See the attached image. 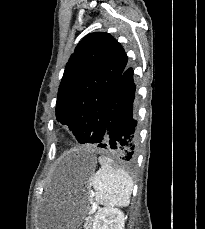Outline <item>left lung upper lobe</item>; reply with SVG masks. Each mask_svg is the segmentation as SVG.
<instances>
[{"mask_svg": "<svg viewBox=\"0 0 205 229\" xmlns=\"http://www.w3.org/2000/svg\"><path fill=\"white\" fill-rule=\"evenodd\" d=\"M127 61L120 43L108 33L88 34L75 48L59 86L56 118L79 143H90L86 131L103 124L107 101Z\"/></svg>", "mask_w": 205, "mask_h": 229, "instance_id": "left-lung-upper-lobe-1", "label": "left lung upper lobe"}]
</instances>
